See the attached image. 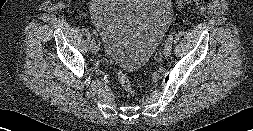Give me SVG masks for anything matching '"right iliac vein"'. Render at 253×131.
Returning <instances> with one entry per match:
<instances>
[{
  "mask_svg": "<svg viewBox=\"0 0 253 131\" xmlns=\"http://www.w3.org/2000/svg\"><path fill=\"white\" fill-rule=\"evenodd\" d=\"M90 50L93 54H96L98 52V47H97V44H95L94 46H91L90 47Z\"/></svg>",
  "mask_w": 253,
  "mask_h": 131,
  "instance_id": "1",
  "label": "right iliac vein"
}]
</instances>
